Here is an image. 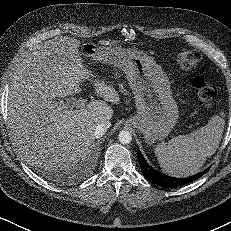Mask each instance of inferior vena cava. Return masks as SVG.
Here are the masks:
<instances>
[{
	"label": "inferior vena cava",
	"instance_id": "602c4592",
	"mask_svg": "<svg viewBox=\"0 0 231 231\" xmlns=\"http://www.w3.org/2000/svg\"><path fill=\"white\" fill-rule=\"evenodd\" d=\"M111 123L110 122H105V123H100L96 126L95 128V137L96 138H100L102 137L106 132L107 130L109 129Z\"/></svg>",
	"mask_w": 231,
	"mask_h": 231
}]
</instances>
